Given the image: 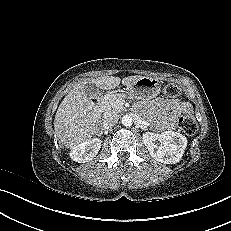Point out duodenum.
Returning a JSON list of instances; mask_svg holds the SVG:
<instances>
[{"label": "duodenum", "instance_id": "1", "mask_svg": "<svg viewBox=\"0 0 231 231\" xmlns=\"http://www.w3.org/2000/svg\"><path fill=\"white\" fill-rule=\"evenodd\" d=\"M91 106L94 110H97L100 104V98L99 97H92L90 99Z\"/></svg>", "mask_w": 231, "mask_h": 231}]
</instances>
